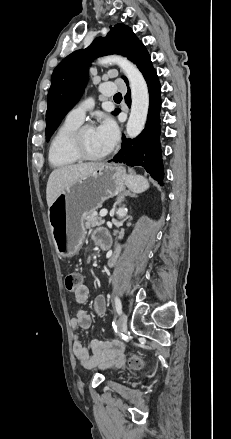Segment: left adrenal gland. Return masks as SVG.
Returning <instances> with one entry per match:
<instances>
[{"mask_svg":"<svg viewBox=\"0 0 231 439\" xmlns=\"http://www.w3.org/2000/svg\"><path fill=\"white\" fill-rule=\"evenodd\" d=\"M131 196V197H137L135 194H131L130 191H126L124 193H122L120 196H118L117 198V202L121 203L124 199L125 196Z\"/></svg>","mask_w":231,"mask_h":439,"instance_id":"1","label":"left adrenal gland"}]
</instances>
